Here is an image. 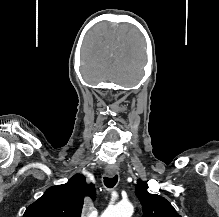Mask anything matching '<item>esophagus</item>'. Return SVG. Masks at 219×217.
<instances>
[{"mask_svg": "<svg viewBox=\"0 0 219 217\" xmlns=\"http://www.w3.org/2000/svg\"><path fill=\"white\" fill-rule=\"evenodd\" d=\"M106 172L108 176L112 177L117 173V170L115 168H107Z\"/></svg>", "mask_w": 219, "mask_h": 217, "instance_id": "obj_1", "label": "esophagus"}]
</instances>
